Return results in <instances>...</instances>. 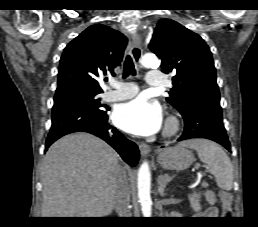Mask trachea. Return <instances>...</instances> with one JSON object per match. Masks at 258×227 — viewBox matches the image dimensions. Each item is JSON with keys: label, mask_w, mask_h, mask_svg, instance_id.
I'll return each mask as SVG.
<instances>
[{"label": "trachea", "mask_w": 258, "mask_h": 227, "mask_svg": "<svg viewBox=\"0 0 258 227\" xmlns=\"http://www.w3.org/2000/svg\"><path fill=\"white\" fill-rule=\"evenodd\" d=\"M130 74L136 75V71L134 68V63L132 58L129 55H127L124 61L123 77L126 78Z\"/></svg>", "instance_id": "3493384b"}]
</instances>
